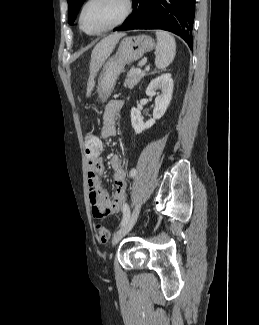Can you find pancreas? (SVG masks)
<instances>
[{"instance_id": "cf45deb5", "label": "pancreas", "mask_w": 259, "mask_h": 325, "mask_svg": "<svg viewBox=\"0 0 259 325\" xmlns=\"http://www.w3.org/2000/svg\"><path fill=\"white\" fill-rule=\"evenodd\" d=\"M145 76V72L137 73L135 68H131L127 73V78L124 82V87L133 89L140 80Z\"/></svg>"}]
</instances>
